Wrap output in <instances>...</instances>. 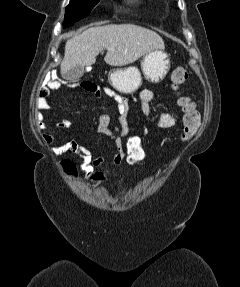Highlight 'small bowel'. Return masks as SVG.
I'll use <instances>...</instances> for the list:
<instances>
[{
  "label": "small bowel",
  "mask_w": 240,
  "mask_h": 287,
  "mask_svg": "<svg viewBox=\"0 0 240 287\" xmlns=\"http://www.w3.org/2000/svg\"><path fill=\"white\" fill-rule=\"evenodd\" d=\"M61 87V83L49 76L45 80V84L40 88L37 98V108L41 111H48L51 109L49 98L54 90ZM95 97L101 98L106 96L112 99L117 108L118 113V127L113 130L110 127L111 117L108 113H101L98 117L97 129L100 134L113 136L115 139V151L112 157V163L115 166H119L125 162V155L123 151V141L129 131V112L130 103L126 97H123L116 93L113 89L104 87H95L90 91ZM153 99V92L149 89H144L139 95L140 110L146 120L149 123H155L157 126L163 129H171L176 126L179 119V112L167 113L159 112L152 115L151 101ZM57 127L60 129H69L71 127V121L68 119H62L57 123ZM45 140L48 143H53L55 138L52 135H46ZM60 152H71L76 154L80 158V169L87 175H91L95 168L100 167L104 163V156L101 154L94 155L90 149L79 144L76 141H68L59 146Z\"/></svg>",
  "instance_id": "c3829d8e"
}]
</instances>
